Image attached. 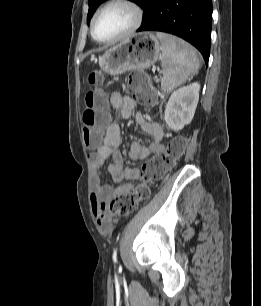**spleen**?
Wrapping results in <instances>:
<instances>
[{
	"label": "spleen",
	"mask_w": 261,
	"mask_h": 306,
	"mask_svg": "<svg viewBox=\"0 0 261 306\" xmlns=\"http://www.w3.org/2000/svg\"><path fill=\"white\" fill-rule=\"evenodd\" d=\"M156 36L162 50L161 88L164 92H171L197 73L199 60L194 48L182 39L162 32H157Z\"/></svg>",
	"instance_id": "1"
}]
</instances>
